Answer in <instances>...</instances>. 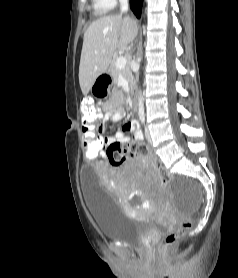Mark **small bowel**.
Wrapping results in <instances>:
<instances>
[{
    "mask_svg": "<svg viewBox=\"0 0 238 278\" xmlns=\"http://www.w3.org/2000/svg\"><path fill=\"white\" fill-rule=\"evenodd\" d=\"M124 116H125V109L123 106H117V107L107 106L103 114V122L105 121L117 122L121 120ZM104 131H105V127L103 124V133ZM127 133H130L131 137H128ZM102 137H103V153H98V154L105 156L107 155L106 153L107 147L112 143H118L122 145L128 143L130 139L140 141L143 139V134L136 121H128L123 125L122 130L116 133L114 138H107L104 135Z\"/></svg>",
    "mask_w": 238,
    "mask_h": 278,
    "instance_id": "small-bowel-1",
    "label": "small bowel"
}]
</instances>
